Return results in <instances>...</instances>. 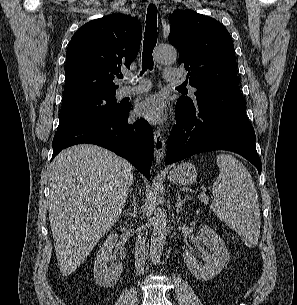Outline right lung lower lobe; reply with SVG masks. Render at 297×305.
Listing matches in <instances>:
<instances>
[{
    "label": "right lung lower lobe",
    "mask_w": 297,
    "mask_h": 305,
    "mask_svg": "<svg viewBox=\"0 0 297 305\" xmlns=\"http://www.w3.org/2000/svg\"><path fill=\"white\" fill-rule=\"evenodd\" d=\"M130 108L131 105H125L116 115L90 117L57 132L52 144V159L64 148L91 143L129 160L145 177L150 178L153 158L152 131L143 119L128 124Z\"/></svg>",
    "instance_id": "1"
}]
</instances>
